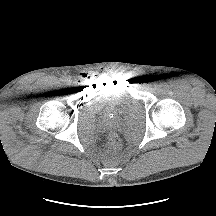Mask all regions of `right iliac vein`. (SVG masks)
Instances as JSON below:
<instances>
[{
	"mask_svg": "<svg viewBox=\"0 0 216 216\" xmlns=\"http://www.w3.org/2000/svg\"><path fill=\"white\" fill-rule=\"evenodd\" d=\"M66 84H69L71 86L73 83L71 82V79H66Z\"/></svg>",
	"mask_w": 216,
	"mask_h": 216,
	"instance_id": "63e3f726",
	"label": "right iliac vein"
}]
</instances>
